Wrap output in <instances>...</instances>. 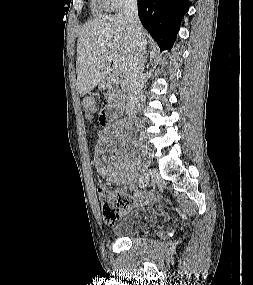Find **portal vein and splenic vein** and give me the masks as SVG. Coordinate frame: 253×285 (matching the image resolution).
I'll use <instances>...</instances> for the list:
<instances>
[{
	"label": "portal vein and splenic vein",
	"instance_id": "18ae733b",
	"mask_svg": "<svg viewBox=\"0 0 253 285\" xmlns=\"http://www.w3.org/2000/svg\"><path fill=\"white\" fill-rule=\"evenodd\" d=\"M111 56L113 58V65H112L113 73H114L115 76H118L120 74V72H121V68H120L118 57H117L115 52H112Z\"/></svg>",
	"mask_w": 253,
	"mask_h": 285
}]
</instances>
